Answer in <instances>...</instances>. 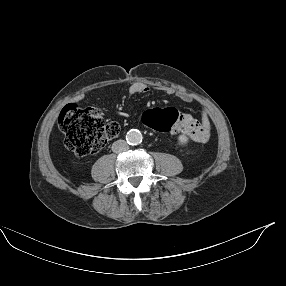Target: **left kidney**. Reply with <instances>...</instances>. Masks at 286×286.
Masks as SVG:
<instances>
[{
	"label": "left kidney",
	"instance_id": "5707ae66",
	"mask_svg": "<svg viewBox=\"0 0 286 286\" xmlns=\"http://www.w3.org/2000/svg\"><path fill=\"white\" fill-rule=\"evenodd\" d=\"M178 142L180 145H186L188 143V139L185 136L180 135L178 137Z\"/></svg>",
	"mask_w": 286,
	"mask_h": 286
}]
</instances>
